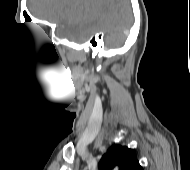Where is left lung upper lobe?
<instances>
[{"label":"left lung upper lobe","instance_id":"5c2ea615","mask_svg":"<svg viewBox=\"0 0 190 170\" xmlns=\"http://www.w3.org/2000/svg\"><path fill=\"white\" fill-rule=\"evenodd\" d=\"M116 165L119 167V170H143L137 160L135 150L121 145L112 146L103 155L99 163V169L110 170Z\"/></svg>","mask_w":190,"mask_h":170}]
</instances>
